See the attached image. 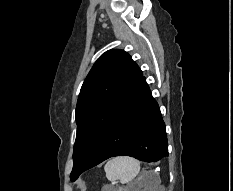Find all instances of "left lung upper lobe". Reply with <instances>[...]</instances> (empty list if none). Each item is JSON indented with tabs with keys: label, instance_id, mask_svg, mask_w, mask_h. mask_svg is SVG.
<instances>
[{
	"label": "left lung upper lobe",
	"instance_id": "left-lung-upper-lobe-1",
	"mask_svg": "<svg viewBox=\"0 0 233 191\" xmlns=\"http://www.w3.org/2000/svg\"><path fill=\"white\" fill-rule=\"evenodd\" d=\"M141 77L138 65L122 50H109L95 62L77 101V135L70 177L82 169L106 127Z\"/></svg>",
	"mask_w": 233,
	"mask_h": 191
}]
</instances>
